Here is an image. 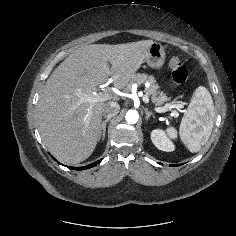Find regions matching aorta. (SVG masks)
Masks as SVG:
<instances>
[{"label":"aorta","instance_id":"762f6f07","mask_svg":"<svg viewBox=\"0 0 236 236\" xmlns=\"http://www.w3.org/2000/svg\"><path fill=\"white\" fill-rule=\"evenodd\" d=\"M125 119L128 124H135L139 119V114L136 110H129L126 113Z\"/></svg>","mask_w":236,"mask_h":236}]
</instances>
